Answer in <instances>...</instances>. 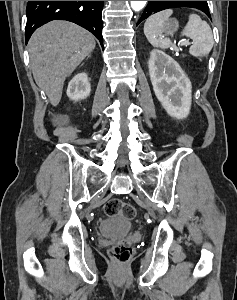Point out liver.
<instances>
[{
  "label": "liver",
  "mask_w": 237,
  "mask_h": 300,
  "mask_svg": "<svg viewBox=\"0 0 237 300\" xmlns=\"http://www.w3.org/2000/svg\"><path fill=\"white\" fill-rule=\"evenodd\" d=\"M95 45L91 33L68 21H51L33 33L28 43L30 67L36 85L53 107L61 101L66 77Z\"/></svg>",
  "instance_id": "obj_1"
}]
</instances>
